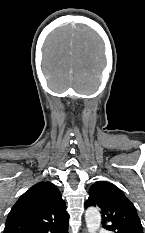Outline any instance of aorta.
Returning a JSON list of instances; mask_svg holds the SVG:
<instances>
[{"label":"aorta","instance_id":"obj_1","mask_svg":"<svg viewBox=\"0 0 145 233\" xmlns=\"http://www.w3.org/2000/svg\"><path fill=\"white\" fill-rule=\"evenodd\" d=\"M88 233H97L101 225V215L97 208L90 207L85 212Z\"/></svg>","mask_w":145,"mask_h":233}]
</instances>
